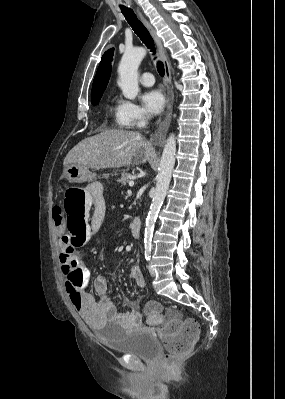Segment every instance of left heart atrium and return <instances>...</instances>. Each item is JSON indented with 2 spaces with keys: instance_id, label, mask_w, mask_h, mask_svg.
Returning <instances> with one entry per match:
<instances>
[{
  "instance_id": "obj_1",
  "label": "left heart atrium",
  "mask_w": 285,
  "mask_h": 399,
  "mask_svg": "<svg viewBox=\"0 0 285 399\" xmlns=\"http://www.w3.org/2000/svg\"><path fill=\"white\" fill-rule=\"evenodd\" d=\"M143 105L150 114H158L165 105V98L161 91L150 90L142 97Z\"/></svg>"
}]
</instances>
